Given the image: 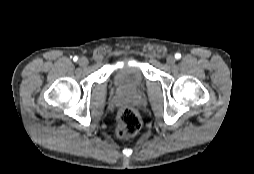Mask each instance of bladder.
<instances>
[{
    "label": "bladder",
    "instance_id": "obj_1",
    "mask_svg": "<svg viewBox=\"0 0 254 174\" xmlns=\"http://www.w3.org/2000/svg\"><path fill=\"white\" fill-rule=\"evenodd\" d=\"M115 84L124 91H135L143 83L141 67L136 62L126 61L121 67L117 68L114 77Z\"/></svg>",
    "mask_w": 254,
    "mask_h": 174
}]
</instances>
